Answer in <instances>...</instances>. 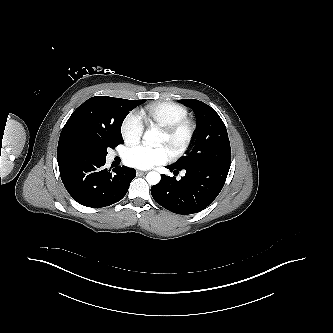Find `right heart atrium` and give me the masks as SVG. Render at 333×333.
I'll use <instances>...</instances> for the list:
<instances>
[{
    "instance_id": "right-heart-atrium-1",
    "label": "right heart atrium",
    "mask_w": 333,
    "mask_h": 333,
    "mask_svg": "<svg viewBox=\"0 0 333 333\" xmlns=\"http://www.w3.org/2000/svg\"><path fill=\"white\" fill-rule=\"evenodd\" d=\"M144 131V124L136 113H129L121 123L120 132L126 144L132 145L139 142Z\"/></svg>"
}]
</instances>
